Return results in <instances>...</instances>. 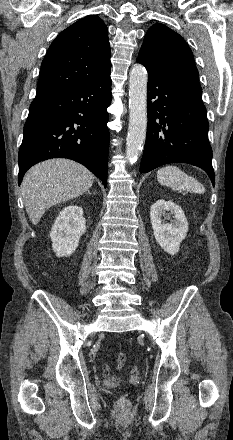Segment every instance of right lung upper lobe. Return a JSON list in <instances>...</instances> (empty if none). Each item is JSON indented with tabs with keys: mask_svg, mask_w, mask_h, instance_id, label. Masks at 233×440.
<instances>
[{
	"mask_svg": "<svg viewBox=\"0 0 233 440\" xmlns=\"http://www.w3.org/2000/svg\"><path fill=\"white\" fill-rule=\"evenodd\" d=\"M107 27L98 16H86L57 36L41 64L37 93L100 80L111 70Z\"/></svg>",
	"mask_w": 233,
	"mask_h": 440,
	"instance_id": "1",
	"label": "right lung upper lobe"
}]
</instances>
